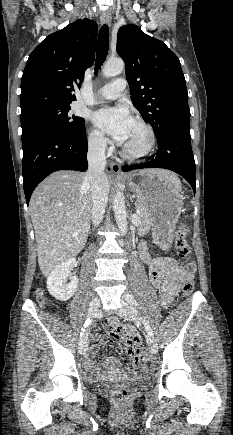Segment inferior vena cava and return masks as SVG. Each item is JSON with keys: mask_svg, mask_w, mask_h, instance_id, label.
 Listing matches in <instances>:
<instances>
[{"mask_svg": "<svg viewBox=\"0 0 233 435\" xmlns=\"http://www.w3.org/2000/svg\"><path fill=\"white\" fill-rule=\"evenodd\" d=\"M105 149V140L99 139L90 145L87 154L89 167L85 180L91 183V218L94 226L101 223L108 202L109 184L104 172L106 167Z\"/></svg>", "mask_w": 233, "mask_h": 435, "instance_id": "1", "label": "inferior vena cava"}]
</instances>
